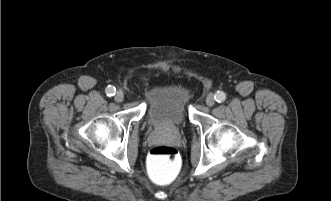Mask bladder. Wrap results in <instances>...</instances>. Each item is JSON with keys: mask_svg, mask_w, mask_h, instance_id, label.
Masks as SVG:
<instances>
[{"mask_svg": "<svg viewBox=\"0 0 331 201\" xmlns=\"http://www.w3.org/2000/svg\"><path fill=\"white\" fill-rule=\"evenodd\" d=\"M191 93L178 82L153 86L146 100L145 121L153 128L181 126L189 117Z\"/></svg>", "mask_w": 331, "mask_h": 201, "instance_id": "obj_1", "label": "bladder"}]
</instances>
